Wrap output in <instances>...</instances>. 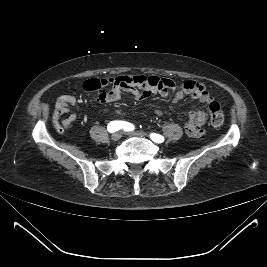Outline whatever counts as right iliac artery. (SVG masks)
Returning <instances> with one entry per match:
<instances>
[{"instance_id": "1", "label": "right iliac artery", "mask_w": 267, "mask_h": 267, "mask_svg": "<svg viewBox=\"0 0 267 267\" xmlns=\"http://www.w3.org/2000/svg\"><path fill=\"white\" fill-rule=\"evenodd\" d=\"M122 128L125 131H132L134 129V126L124 121H111L107 126L109 132H115Z\"/></svg>"}]
</instances>
